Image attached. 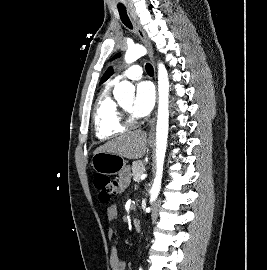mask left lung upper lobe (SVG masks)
I'll return each mask as SVG.
<instances>
[{"label":"left lung upper lobe","mask_w":267,"mask_h":270,"mask_svg":"<svg viewBox=\"0 0 267 270\" xmlns=\"http://www.w3.org/2000/svg\"><path fill=\"white\" fill-rule=\"evenodd\" d=\"M118 57H120V53L116 54V55L112 58V60H113V59H116V58H118Z\"/></svg>","instance_id":"5c2ea615"}]
</instances>
